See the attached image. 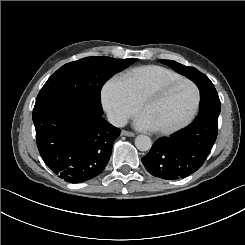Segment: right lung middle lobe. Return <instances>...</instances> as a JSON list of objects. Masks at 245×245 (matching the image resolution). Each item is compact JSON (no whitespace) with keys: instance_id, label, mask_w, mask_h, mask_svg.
Returning <instances> with one entry per match:
<instances>
[{"instance_id":"obj_1","label":"right lung middle lobe","mask_w":245,"mask_h":245,"mask_svg":"<svg viewBox=\"0 0 245 245\" xmlns=\"http://www.w3.org/2000/svg\"><path fill=\"white\" fill-rule=\"evenodd\" d=\"M136 60L100 56L67 63L47 80L37 96L35 106L67 101L78 103L91 113L102 115L100 91L103 84Z\"/></svg>"}]
</instances>
